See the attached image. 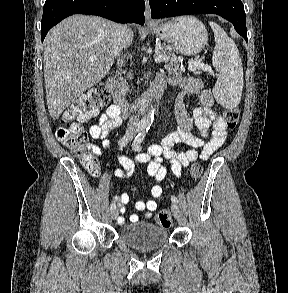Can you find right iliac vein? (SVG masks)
Wrapping results in <instances>:
<instances>
[{"label":"right iliac vein","instance_id":"63e3f726","mask_svg":"<svg viewBox=\"0 0 288 293\" xmlns=\"http://www.w3.org/2000/svg\"><path fill=\"white\" fill-rule=\"evenodd\" d=\"M117 216H118V210L117 209L111 210V217H112V219H116Z\"/></svg>","mask_w":288,"mask_h":293}]
</instances>
